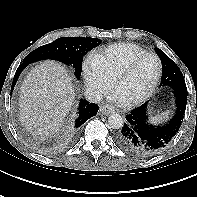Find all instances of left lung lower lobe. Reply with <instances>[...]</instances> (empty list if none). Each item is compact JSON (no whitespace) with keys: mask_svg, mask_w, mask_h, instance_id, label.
<instances>
[{"mask_svg":"<svg viewBox=\"0 0 197 197\" xmlns=\"http://www.w3.org/2000/svg\"><path fill=\"white\" fill-rule=\"evenodd\" d=\"M176 109L172 119L164 125H154L147 113V102L133 109L116 135L117 144L137 158H148L162 151L178 132L183 121L186 104V86L174 87Z\"/></svg>","mask_w":197,"mask_h":197,"instance_id":"obj_1","label":"left lung lower lobe"}]
</instances>
